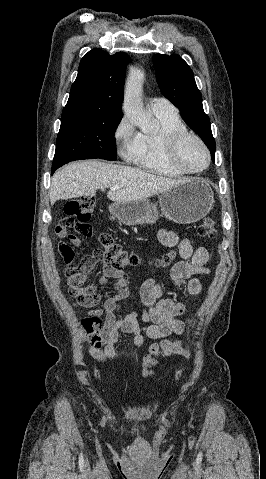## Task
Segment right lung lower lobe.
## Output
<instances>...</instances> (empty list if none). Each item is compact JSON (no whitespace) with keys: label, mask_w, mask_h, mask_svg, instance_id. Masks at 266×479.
Here are the masks:
<instances>
[{"label":"right lung lower lobe","mask_w":266,"mask_h":479,"mask_svg":"<svg viewBox=\"0 0 266 479\" xmlns=\"http://www.w3.org/2000/svg\"><path fill=\"white\" fill-rule=\"evenodd\" d=\"M68 162L69 161H66V160L53 161L52 169H51L52 174L55 172L56 169H58L59 167H61L62 165L66 164Z\"/></svg>","instance_id":"98d812e1"}]
</instances>
